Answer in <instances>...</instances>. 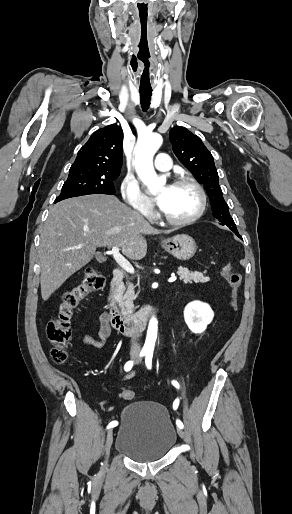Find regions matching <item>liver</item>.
<instances>
[{
    "instance_id": "obj_1",
    "label": "liver",
    "mask_w": 292,
    "mask_h": 514,
    "mask_svg": "<svg viewBox=\"0 0 292 514\" xmlns=\"http://www.w3.org/2000/svg\"><path fill=\"white\" fill-rule=\"evenodd\" d=\"M139 212L115 196L92 194L69 198L53 206L40 240L41 296L48 300L72 274L92 260L99 246H120L130 260L147 252L143 234H161ZM174 230H164L170 234Z\"/></svg>"
}]
</instances>
